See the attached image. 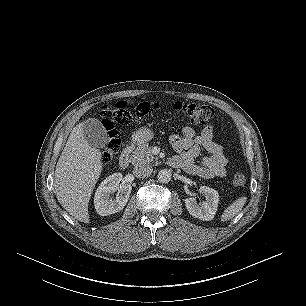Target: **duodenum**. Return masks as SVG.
Here are the masks:
<instances>
[{"label": "duodenum", "instance_id": "1", "mask_svg": "<svg viewBox=\"0 0 306 306\" xmlns=\"http://www.w3.org/2000/svg\"><path fill=\"white\" fill-rule=\"evenodd\" d=\"M132 149H133V144L132 143H129L124 147V149H123V151H122V153L119 157V161H118L119 167L121 169H126L128 167L129 161H130V154L132 152Z\"/></svg>", "mask_w": 306, "mask_h": 306}]
</instances>
